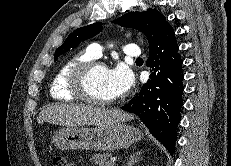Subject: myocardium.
<instances>
[{"mask_svg": "<svg viewBox=\"0 0 231 166\" xmlns=\"http://www.w3.org/2000/svg\"><path fill=\"white\" fill-rule=\"evenodd\" d=\"M99 67L106 68V65L99 60L85 62L75 68L70 76V89L80 99L97 105H110L116 102L115 98L101 99L97 98L89 90V78L93 71Z\"/></svg>", "mask_w": 231, "mask_h": 166, "instance_id": "f54148a6", "label": "myocardium"}]
</instances>
